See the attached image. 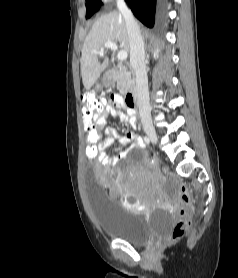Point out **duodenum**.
Masks as SVG:
<instances>
[{
    "mask_svg": "<svg viewBox=\"0 0 238 278\" xmlns=\"http://www.w3.org/2000/svg\"><path fill=\"white\" fill-rule=\"evenodd\" d=\"M115 77H116V72L114 70L110 71L109 78L111 80H114ZM125 101L127 105L132 108L137 106L138 104L137 93L134 89H131L130 91L127 92L125 96Z\"/></svg>",
    "mask_w": 238,
    "mask_h": 278,
    "instance_id": "410a0bca",
    "label": "duodenum"
}]
</instances>
